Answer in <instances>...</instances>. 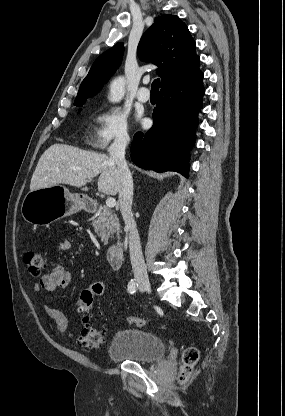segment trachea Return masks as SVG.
I'll return each instance as SVG.
<instances>
[{"instance_id": "trachea-1", "label": "trachea", "mask_w": 285, "mask_h": 416, "mask_svg": "<svg viewBox=\"0 0 285 416\" xmlns=\"http://www.w3.org/2000/svg\"><path fill=\"white\" fill-rule=\"evenodd\" d=\"M151 92H159V78H156L151 85Z\"/></svg>"}]
</instances>
